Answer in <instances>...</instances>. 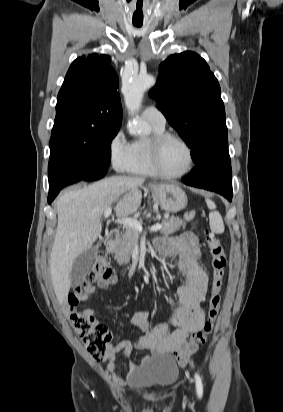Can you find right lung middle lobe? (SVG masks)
<instances>
[{"mask_svg": "<svg viewBox=\"0 0 283 412\" xmlns=\"http://www.w3.org/2000/svg\"><path fill=\"white\" fill-rule=\"evenodd\" d=\"M117 132L96 129L80 117L55 119L49 142V176L58 171L76 170L90 165H109L110 146Z\"/></svg>", "mask_w": 283, "mask_h": 412, "instance_id": "obj_1", "label": "right lung middle lobe"}]
</instances>
